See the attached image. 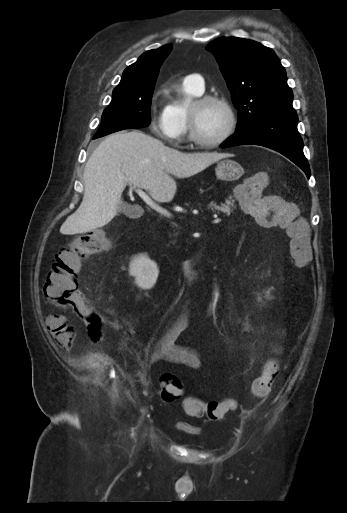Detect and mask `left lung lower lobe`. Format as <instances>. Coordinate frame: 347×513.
<instances>
[{
	"label": "left lung lower lobe",
	"instance_id": "1",
	"mask_svg": "<svg viewBox=\"0 0 347 513\" xmlns=\"http://www.w3.org/2000/svg\"><path fill=\"white\" fill-rule=\"evenodd\" d=\"M297 114L270 115L243 131L236 132L221 147L260 145L275 150L299 166L310 178V168L303 153V141L297 130Z\"/></svg>",
	"mask_w": 347,
	"mask_h": 513
}]
</instances>
